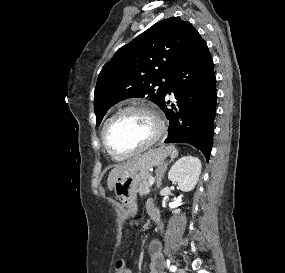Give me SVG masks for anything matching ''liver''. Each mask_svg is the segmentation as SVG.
I'll use <instances>...</instances> for the list:
<instances>
[{
  "instance_id": "1",
  "label": "liver",
  "mask_w": 285,
  "mask_h": 273,
  "mask_svg": "<svg viewBox=\"0 0 285 273\" xmlns=\"http://www.w3.org/2000/svg\"><path fill=\"white\" fill-rule=\"evenodd\" d=\"M137 160V158L127 161L125 163L119 164L117 166H115V168H113L111 170V172L109 173L108 179H107V185L109 190H112L114 187V182L116 180V178L118 177V175L125 170L126 168H128L129 166H131L135 161Z\"/></svg>"
}]
</instances>
